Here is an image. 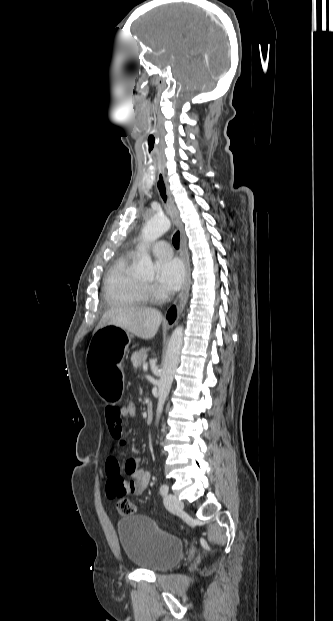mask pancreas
<instances>
[{
  "label": "pancreas",
  "mask_w": 333,
  "mask_h": 621,
  "mask_svg": "<svg viewBox=\"0 0 333 621\" xmlns=\"http://www.w3.org/2000/svg\"><path fill=\"white\" fill-rule=\"evenodd\" d=\"M146 359L147 350L145 348L133 352L131 356V362L135 368H140L141 365L146 361Z\"/></svg>",
  "instance_id": "pancreas-1"
}]
</instances>
